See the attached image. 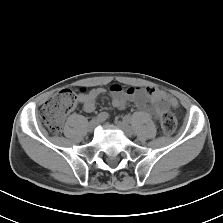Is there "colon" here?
<instances>
[{"instance_id":"colon-1","label":"colon","mask_w":223,"mask_h":223,"mask_svg":"<svg viewBox=\"0 0 223 223\" xmlns=\"http://www.w3.org/2000/svg\"><path fill=\"white\" fill-rule=\"evenodd\" d=\"M76 95L70 89H64L52 96L40 111V121L51 132H60L65 116L76 105ZM177 126L176 116L172 111H165L161 115V129L166 136L172 135Z\"/></svg>"}]
</instances>
